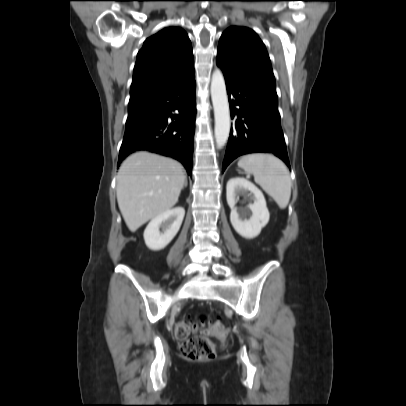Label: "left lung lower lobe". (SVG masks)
Listing matches in <instances>:
<instances>
[{"instance_id": "obj_1", "label": "left lung lower lobe", "mask_w": 406, "mask_h": 406, "mask_svg": "<svg viewBox=\"0 0 406 406\" xmlns=\"http://www.w3.org/2000/svg\"><path fill=\"white\" fill-rule=\"evenodd\" d=\"M216 62L223 71L231 118L235 119L222 170L236 157L256 152L273 153L290 168L275 88Z\"/></svg>"}]
</instances>
